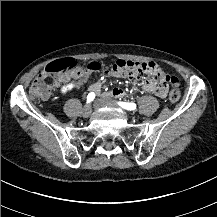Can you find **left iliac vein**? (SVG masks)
Listing matches in <instances>:
<instances>
[{"mask_svg": "<svg viewBox=\"0 0 217 217\" xmlns=\"http://www.w3.org/2000/svg\"><path fill=\"white\" fill-rule=\"evenodd\" d=\"M96 103H98L100 106H107V107H115L114 104H112V101L109 98H99Z\"/></svg>", "mask_w": 217, "mask_h": 217, "instance_id": "left-iliac-vein-1", "label": "left iliac vein"}]
</instances>
